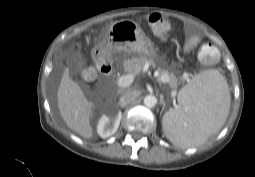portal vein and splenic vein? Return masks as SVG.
<instances>
[{"label":"portal vein and splenic vein","instance_id":"obj_1","mask_svg":"<svg viewBox=\"0 0 255 177\" xmlns=\"http://www.w3.org/2000/svg\"><path fill=\"white\" fill-rule=\"evenodd\" d=\"M134 78H135V74L123 75L118 79L117 84L119 87H122V88L128 87L133 83Z\"/></svg>","mask_w":255,"mask_h":177}]
</instances>
